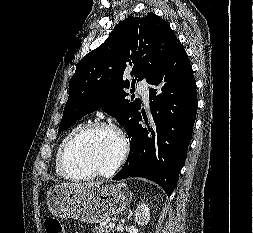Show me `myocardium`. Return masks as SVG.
Segmentation results:
<instances>
[{"mask_svg":"<svg viewBox=\"0 0 253 233\" xmlns=\"http://www.w3.org/2000/svg\"><path fill=\"white\" fill-rule=\"evenodd\" d=\"M108 130L113 132L114 134L117 135V137L120 140L121 144V151L120 154L116 160V162L112 165L111 168L108 170H93L89 173L83 174V175H73L69 172L68 167H67V157L69 154V151L71 150L72 146L79 140L83 135H85L88 132L95 131V130ZM129 154V141L125 135V133L116 125L108 123V122H103V121H96V122H91L83 125L66 143L61 159H60V167L61 171L63 173V176L69 180L72 181H82V180H87L96 176H102V177H109L113 175L121 166L122 164L126 161L127 157Z\"/></svg>","mask_w":253,"mask_h":233,"instance_id":"f54148a6","label":"myocardium"}]
</instances>
